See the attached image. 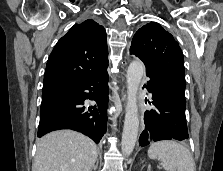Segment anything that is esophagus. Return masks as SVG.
Masks as SVG:
<instances>
[{
    "label": "esophagus",
    "instance_id": "1",
    "mask_svg": "<svg viewBox=\"0 0 223 171\" xmlns=\"http://www.w3.org/2000/svg\"><path fill=\"white\" fill-rule=\"evenodd\" d=\"M125 99H126V95L123 94V96H122V100L124 101Z\"/></svg>",
    "mask_w": 223,
    "mask_h": 171
}]
</instances>
